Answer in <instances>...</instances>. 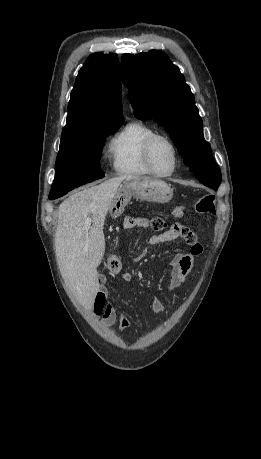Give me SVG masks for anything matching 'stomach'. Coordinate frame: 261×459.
Masks as SVG:
<instances>
[{
	"mask_svg": "<svg viewBox=\"0 0 261 459\" xmlns=\"http://www.w3.org/2000/svg\"><path fill=\"white\" fill-rule=\"evenodd\" d=\"M156 203H167L173 197V190L164 181L147 176H130L121 184L114 197L113 215H116L131 199Z\"/></svg>",
	"mask_w": 261,
	"mask_h": 459,
	"instance_id": "0dacf381",
	"label": "stomach"
}]
</instances>
